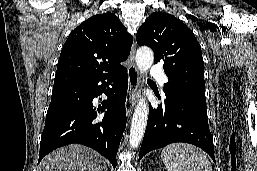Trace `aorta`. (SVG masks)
Segmentation results:
<instances>
[{
  "label": "aorta",
  "instance_id": "obj_1",
  "mask_svg": "<svg viewBox=\"0 0 257 171\" xmlns=\"http://www.w3.org/2000/svg\"><path fill=\"white\" fill-rule=\"evenodd\" d=\"M153 61H154V54L150 48L140 47L137 50L136 64L139 71L142 74L147 73V71L153 64ZM147 119H148V106H147V103L145 102V99L141 98L135 108L132 122H131L130 146L132 148H137L138 145L140 144L145 132Z\"/></svg>",
  "mask_w": 257,
  "mask_h": 171
}]
</instances>
